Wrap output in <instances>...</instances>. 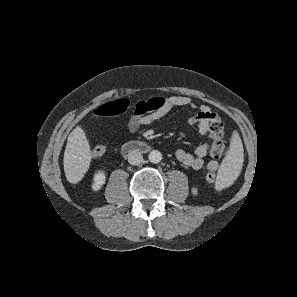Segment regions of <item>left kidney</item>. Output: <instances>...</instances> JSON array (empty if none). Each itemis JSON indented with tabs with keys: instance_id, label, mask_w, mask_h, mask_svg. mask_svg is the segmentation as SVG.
<instances>
[{
	"instance_id": "5707ae66",
	"label": "left kidney",
	"mask_w": 297,
	"mask_h": 297,
	"mask_svg": "<svg viewBox=\"0 0 297 297\" xmlns=\"http://www.w3.org/2000/svg\"><path fill=\"white\" fill-rule=\"evenodd\" d=\"M197 193H198V190H197V188H192V194H194V195H197Z\"/></svg>"
}]
</instances>
